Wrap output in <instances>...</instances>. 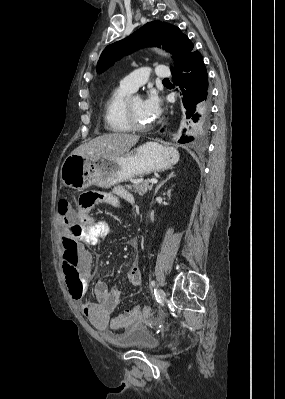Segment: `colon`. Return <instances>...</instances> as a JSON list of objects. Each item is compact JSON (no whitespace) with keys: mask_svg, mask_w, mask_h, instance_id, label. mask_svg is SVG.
<instances>
[{"mask_svg":"<svg viewBox=\"0 0 285 399\" xmlns=\"http://www.w3.org/2000/svg\"><path fill=\"white\" fill-rule=\"evenodd\" d=\"M98 203V195L94 192L85 194L80 200V206L85 208H91ZM72 207V199L64 197L60 200L59 210L62 215L66 214ZM63 271L66 278V283L69 292L74 298H79L82 292L81 274L78 265V258L75 249L69 250L64 258H62ZM149 314L148 307L134 306L126 309L119 315L111 320L112 328H123L127 327L141 318L146 317Z\"/></svg>","mask_w":285,"mask_h":399,"instance_id":"obj_1","label":"colon"}]
</instances>
